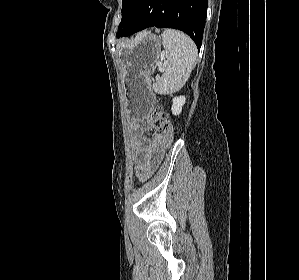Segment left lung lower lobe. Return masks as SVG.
<instances>
[{"label":"left lung lower lobe","instance_id":"0a47b994","mask_svg":"<svg viewBox=\"0 0 299 280\" xmlns=\"http://www.w3.org/2000/svg\"><path fill=\"white\" fill-rule=\"evenodd\" d=\"M207 7L208 0H136L131 20L119 37L153 26L174 28L187 33L200 50Z\"/></svg>","mask_w":299,"mask_h":280}]
</instances>
